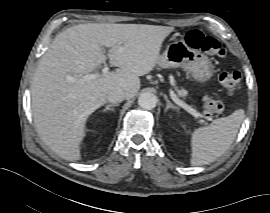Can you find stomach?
<instances>
[{
    "label": "stomach",
    "instance_id": "stomach-1",
    "mask_svg": "<svg viewBox=\"0 0 270 213\" xmlns=\"http://www.w3.org/2000/svg\"><path fill=\"white\" fill-rule=\"evenodd\" d=\"M158 65L162 68L181 67L199 83L209 81L214 72L211 60L205 54L190 48L182 39L167 46L159 57Z\"/></svg>",
    "mask_w": 270,
    "mask_h": 213
}]
</instances>
